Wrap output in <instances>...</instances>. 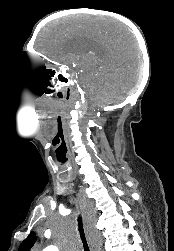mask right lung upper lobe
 <instances>
[{
    "label": "right lung upper lobe",
    "mask_w": 174,
    "mask_h": 251,
    "mask_svg": "<svg viewBox=\"0 0 174 251\" xmlns=\"http://www.w3.org/2000/svg\"><path fill=\"white\" fill-rule=\"evenodd\" d=\"M35 241H36V235L34 232H31L20 245L19 251H30Z\"/></svg>",
    "instance_id": "obj_1"
}]
</instances>
